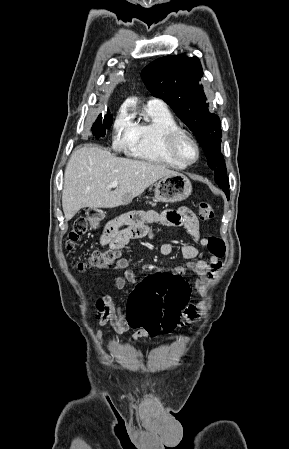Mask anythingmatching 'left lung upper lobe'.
<instances>
[{
	"mask_svg": "<svg viewBox=\"0 0 289 449\" xmlns=\"http://www.w3.org/2000/svg\"><path fill=\"white\" fill-rule=\"evenodd\" d=\"M141 76L148 90L169 104L195 134L209 167L215 170V182L224 192L229 191L220 152L221 123L217 115L208 111L203 87L199 85L203 76L199 59L185 54L165 56L146 66Z\"/></svg>",
	"mask_w": 289,
	"mask_h": 449,
	"instance_id": "1",
	"label": "left lung upper lobe"
}]
</instances>
